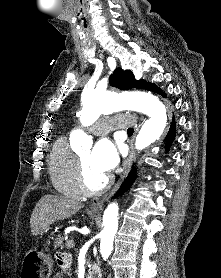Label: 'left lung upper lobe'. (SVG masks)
<instances>
[{"label": "left lung upper lobe", "instance_id": "left-lung-upper-lobe-1", "mask_svg": "<svg viewBox=\"0 0 221 278\" xmlns=\"http://www.w3.org/2000/svg\"><path fill=\"white\" fill-rule=\"evenodd\" d=\"M111 86H114L119 89H131V88H140L148 89L153 92L161 94L163 97H166V94L158 88L155 84L146 82L145 80H136L134 75L129 70H122L117 68L109 78Z\"/></svg>", "mask_w": 221, "mask_h": 278}]
</instances>
